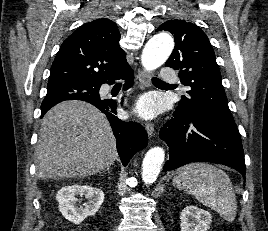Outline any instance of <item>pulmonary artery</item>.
<instances>
[{
  "mask_svg": "<svg viewBox=\"0 0 268 231\" xmlns=\"http://www.w3.org/2000/svg\"><path fill=\"white\" fill-rule=\"evenodd\" d=\"M162 70L161 77L165 81L174 83L178 79L176 72H174L170 67H163Z\"/></svg>",
  "mask_w": 268,
  "mask_h": 231,
  "instance_id": "e3ab8cb5",
  "label": "pulmonary artery"
}]
</instances>
